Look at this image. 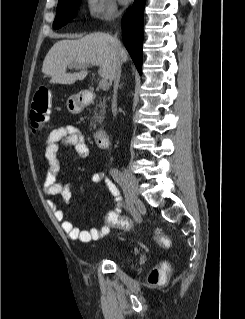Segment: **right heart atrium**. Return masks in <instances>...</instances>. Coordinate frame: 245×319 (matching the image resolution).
Returning a JSON list of instances; mask_svg holds the SVG:
<instances>
[{
  "mask_svg": "<svg viewBox=\"0 0 245 319\" xmlns=\"http://www.w3.org/2000/svg\"><path fill=\"white\" fill-rule=\"evenodd\" d=\"M86 14L93 22H110L117 16V6L114 0H86Z\"/></svg>",
  "mask_w": 245,
  "mask_h": 319,
  "instance_id": "1",
  "label": "right heart atrium"
}]
</instances>
